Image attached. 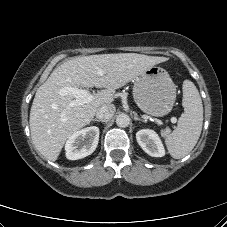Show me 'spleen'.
I'll use <instances>...</instances> for the list:
<instances>
[{
	"mask_svg": "<svg viewBox=\"0 0 227 227\" xmlns=\"http://www.w3.org/2000/svg\"><path fill=\"white\" fill-rule=\"evenodd\" d=\"M182 89L184 113L177 127L165 137L168 152L174 159L183 158L191 152L200 137L203 124V105L198 89L190 80L183 82Z\"/></svg>",
	"mask_w": 227,
	"mask_h": 227,
	"instance_id": "3e777b00",
	"label": "spleen"
}]
</instances>
